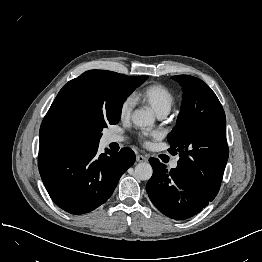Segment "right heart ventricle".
<instances>
[{
    "label": "right heart ventricle",
    "instance_id": "right-heart-ventricle-1",
    "mask_svg": "<svg viewBox=\"0 0 262 262\" xmlns=\"http://www.w3.org/2000/svg\"><path fill=\"white\" fill-rule=\"evenodd\" d=\"M137 96L148 103L157 114L168 113L175 102L174 94L162 84L148 85Z\"/></svg>",
    "mask_w": 262,
    "mask_h": 262
}]
</instances>
